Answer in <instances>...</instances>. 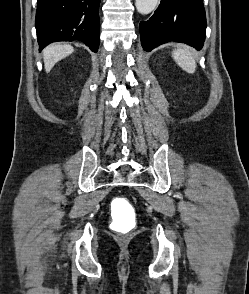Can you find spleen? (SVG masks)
I'll list each match as a JSON object with an SVG mask.
<instances>
[{
  "label": "spleen",
  "mask_w": 249,
  "mask_h": 294,
  "mask_svg": "<svg viewBox=\"0 0 249 294\" xmlns=\"http://www.w3.org/2000/svg\"><path fill=\"white\" fill-rule=\"evenodd\" d=\"M173 58L176 63L186 72L194 73L196 69V61L193 51L189 48H180L173 51Z\"/></svg>",
  "instance_id": "obj_1"
}]
</instances>
